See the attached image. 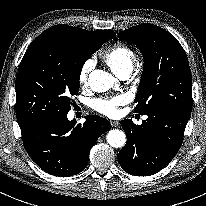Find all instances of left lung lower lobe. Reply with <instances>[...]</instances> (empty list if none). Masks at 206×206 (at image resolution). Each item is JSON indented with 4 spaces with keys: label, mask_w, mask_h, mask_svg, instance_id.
<instances>
[{
    "label": "left lung lower lobe",
    "mask_w": 206,
    "mask_h": 206,
    "mask_svg": "<svg viewBox=\"0 0 206 206\" xmlns=\"http://www.w3.org/2000/svg\"><path fill=\"white\" fill-rule=\"evenodd\" d=\"M139 126L131 119L122 120L127 142L118 161L127 173L147 176L162 170L180 149L191 112L154 108Z\"/></svg>",
    "instance_id": "left-lung-lower-lobe-1"
}]
</instances>
